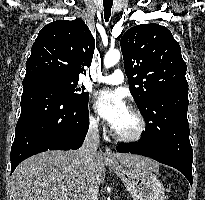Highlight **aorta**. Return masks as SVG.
Listing matches in <instances>:
<instances>
[{"mask_svg": "<svg viewBox=\"0 0 205 200\" xmlns=\"http://www.w3.org/2000/svg\"><path fill=\"white\" fill-rule=\"evenodd\" d=\"M121 57V53L118 49L109 50L104 57V67L110 68L114 66Z\"/></svg>", "mask_w": 205, "mask_h": 200, "instance_id": "aorta-1", "label": "aorta"}]
</instances>
